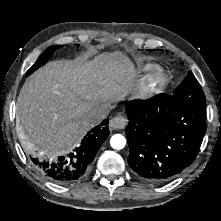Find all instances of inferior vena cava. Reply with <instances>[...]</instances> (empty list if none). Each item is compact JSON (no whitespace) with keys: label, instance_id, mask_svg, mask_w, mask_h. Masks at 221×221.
<instances>
[{"label":"inferior vena cava","instance_id":"inferior-vena-cava-1","mask_svg":"<svg viewBox=\"0 0 221 221\" xmlns=\"http://www.w3.org/2000/svg\"><path fill=\"white\" fill-rule=\"evenodd\" d=\"M110 107V104L107 103L93 106L86 115L87 119L92 124H97L101 122L107 117L110 111Z\"/></svg>","mask_w":221,"mask_h":221}]
</instances>
